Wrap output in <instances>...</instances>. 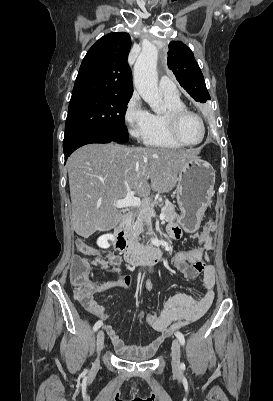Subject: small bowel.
<instances>
[{
    "instance_id": "c3829d8e",
    "label": "small bowel",
    "mask_w": 273,
    "mask_h": 401,
    "mask_svg": "<svg viewBox=\"0 0 273 401\" xmlns=\"http://www.w3.org/2000/svg\"><path fill=\"white\" fill-rule=\"evenodd\" d=\"M215 218L212 215L205 217L207 225L196 235L198 245L189 250L177 251L171 258L174 267L187 279L195 280L200 278L203 283V291L196 296L186 292H177L170 295L163 303L158 314L140 313V318L144 319L152 330L159 334L154 338L156 345H163L167 336L175 329L186 324L192 323L201 318L210 308L215 298L216 273L213 265L204 261L207 252L212 248V231L214 229ZM170 237H182L183 229L169 227L167 235ZM82 256H87L88 261H93L95 266L120 272L122 265L121 255L108 251L102 256V252L88 245H80ZM90 278V274H89ZM115 285L124 286L128 291H132L131 280L129 277H121L114 281H104L103 278H96L94 284H86L85 290H77L74 297L76 304L83 307L96 318L104 321L108 318L105 308L97 300V294L102 293ZM99 291V287H103ZM104 330L110 338L115 350L120 354H135L138 356H149L155 349V344L150 343L143 346L126 344L114 327L110 324L104 325Z\"/></svg>"
}]
</instances>
